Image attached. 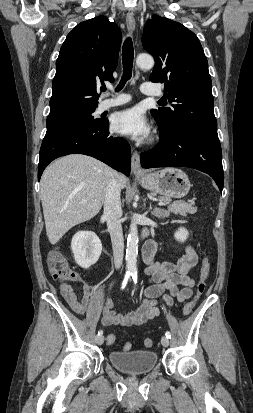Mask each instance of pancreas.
I'll use <instances>...</instances> for the list:
<instances>
[{
    "instance_id": "obj_1",
    "label": "pancreas",
    "mask_w": 253,
    "mask_h": 413,
    "mask_svg": "<svg viewBox=\"0 0 253 413\" xmlns=\"http://www.w3.org/2000/svg\"><path fill=\"white\" fill-rule=\"evenodd\" d=\"M153 195H155L153 193ZM161 201H164L168 204V209L166 211L167 215L169 213L180 214L181 216H187L188 214H194L197 212V208L194 206V203H187L185 201H174L171 203V200L168 197H159Z\"/></svg>"
}]
</instances>
